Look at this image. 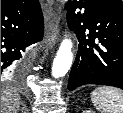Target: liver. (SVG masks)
Listing matches in <instances>:
<instances>
[{
    "instance_id": "liver-1",
    "label": "liver",
    "mask_w": 123,
    "mask_h": 113,
    "mask_svg": "<svg viewBox=\"0 0 123 113\" xmlns=\"http://www.w3.org/2000/svg\"><path fill=\"white\" fill-rule=\"evenodd\" d=\"M21 105V97L16 91L1 89V113H19Z\"/></svg>"
}]
</instances>
